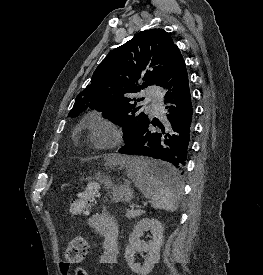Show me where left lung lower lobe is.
Here are the masks:
<instances>
[{
	"instance_id": "0a47b994",
	"label": "left lung lower lobe",
	"mask_w": 263,
	"mask_h": 275,
	"mask_svg": "<svg viewBox=\"0 0 263 275\" xmlns=\"http://www.w3.org/2000/svg\"><path fill=\"white\" fill-rule=\"evenodd\" d=\"M158 86L168 87L165 103L167 121H145L125 145L118 150L121 154L139 155L163 161L164 165L153 164L152 174L159 180L175 185L184 173L190 137L193 129V105L188 84L185 62L179 50L162 76ZM151 125L159 130H152Z\"/></svg>"
}]
</instances>
